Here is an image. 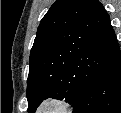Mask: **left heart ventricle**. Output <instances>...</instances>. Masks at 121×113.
I'll return each mask as SVG.
<instances>
[{
  "label": "left heart ventricle",
  "mask_w": 121,
  "mask_h": 113,
  "mask_svg": "<svg viewBox=\"0 0 121 113\" xmlns=\"http://www.w3.org/2000/svg\"><path fill=\"white\" fill-rule=\"evenodd\" d=\"M56 110H57V108H56V107H52V106H49V107H46V108L43 109V111H44L45 113H53V112H55Z\"/></svg>",
  "instance_id": "left-heart-ventricle-1"
}]
</instances>
